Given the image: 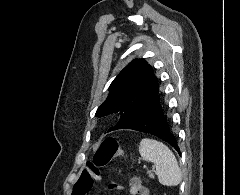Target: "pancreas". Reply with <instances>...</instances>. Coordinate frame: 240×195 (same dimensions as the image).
<instances>
[{"label": "pancreas", "mask_w": 240, "mask_h": 195, "mask_svg": "<svg viewBox=\"0 0 240 195\" xmlns=\"http://www.w3.org/2000/svg\"><path fill=\"white\" fill-rule=\"evenodd\" d=\"M147 173H149V177H154V173H152V169H150V171H147Z\"/></svg>", "instance_id": "cf45deb5"}]
</instances>
